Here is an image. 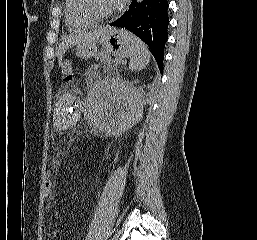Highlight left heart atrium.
<instances>
[{"label": "left heart atrium", "mask_w": 257, "mask_h": 240, "mask_svg": "<svg viewBox=\"0 0 257 240\" xmlns=\"http://www.w3.org/2000/svg\"><path fill=\"white\" fill-rule=\"evenodd\" d=\"M113 8L121 7L125 0H110Z\"/></svg>", "instance_id": "obj_1"}]
</instances>
